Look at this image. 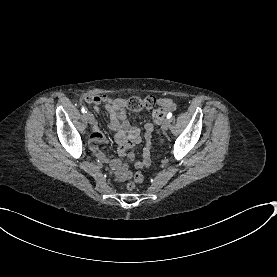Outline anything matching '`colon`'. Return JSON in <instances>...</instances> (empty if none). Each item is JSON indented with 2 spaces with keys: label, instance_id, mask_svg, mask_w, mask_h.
Segmentation results:
<instances>
[{
  "label": "colon",
  "instance_id": "1",
  "mask_svg": "<svg viewBox=\"0 0 277 277\" xmlns=\"http://www.w3.org/2000/svg\"><path fill=\"white\" fill-rule=\"evenodd\" d=\"M127 106L130 110L138 112L141 110H150L153 111V121L155 125L160 126L163 122L165 110L162 108H155V100L152 97H145L143 99L138 97H131L127 100ZM144 176L142 173H135L133 179L128 183V189H133L136 184L142 183Z\"/></svg>",
  "mask_w": 277,
  "mask_h": 277
}]
</instances>
